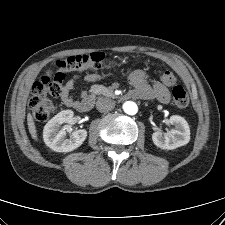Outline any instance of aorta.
I'll return each instance as SVG.
<instances>
[{
	"mask_svg": "<svg viewBox=\"0 0 225 225\" xmlns=\"http://www.w3.org/2000/svg\"><path fill=\"white\" fill-rule=\"evenodd\" d=\"M123 110L129 115H135L138 112V106L135 102L127 101L123 104Z\"/></svg>",
	"mask_w": 225,
	"mask_h": 225,
	"instance_id": "1",
	"label": "aorta"
}]
</instances>
